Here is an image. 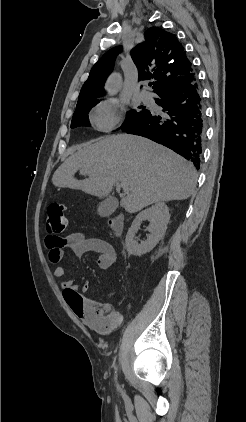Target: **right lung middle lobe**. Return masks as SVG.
I'll list each match as a JSON object with an SVG mask.
<instances>
[{"label": "right lung middle lobe", "instance_id": "dd1d6c3e", "mask_svg": "<svg viewBox=\"0 0 246 422\" xmlns=\"http://www.w3.org/2000/svg\"><path fill=\"white\" fill-rule=\"evenodd\" d=\"M97 103H99V100L89 102L87 104L76 107V110L74 112L72 122H71V128H75L77 126H89L90 122L88 119V113L91 110V108L94 107ZM149 113L150 111L145 110L144 108L140 111H136V110L128 111L126 119L120 128L123 129L132 124H135L137 121H140L144 119L145 117H147Z\"/></svg>", "mask_w": 246, "mask_h": 422}]
</instances>
